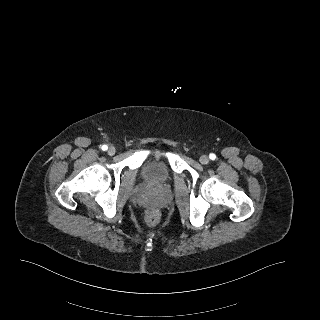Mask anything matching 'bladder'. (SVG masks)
Instances as JSON below:
<instances>
[{
    "mask_svg": "<svg viewBox=\"0 0 320 320\" xmlns=\"http://www.w3.org/2000/svg\"><path fill=\"white\" fill-rule=\"evenodd\" d=\"M143 177L148 182L163 183L169 178L165 162H148L143 169Z\"/></svg>",
    "mask_w": 320,
    "mask_h": 320,
    "instance_id": "1",
    "label": "bladder"
}]
</instances>
